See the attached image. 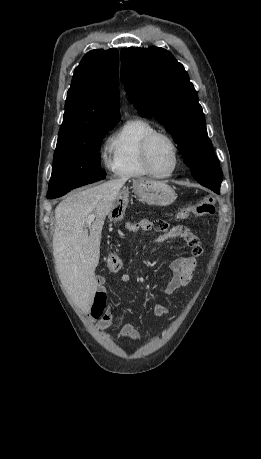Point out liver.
I'll return each instance as SVG.
<instances>
[{
    "instance_id": "6515ba94",
    "label": "liver",
    "mask_w": 261,
    "mask_h": 459,
    "mask_svg": "<svg viewBox=\"0 0 261 459\" xmlns=\"http://www.w3.org/2000/svg\"><path fill=\"white\" fill-rule=\"evenodd\" d=\"M127 179L120 178L77 191L55 209L53 254L60 280L73 302L89 311L97 291L95 269L100 258L101 232ZM95 215L88 233L87 218Z\"/></svg>"
}]
</instances>
